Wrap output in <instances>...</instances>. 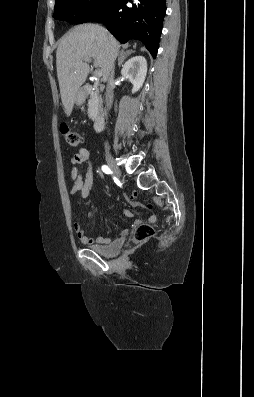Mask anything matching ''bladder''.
Returning a JSON list of instances; mask_svg holds the SVG:
<instances>
[{
	"instance_id": "1",
	"label": "bladder",
	"mask_w": 254,
	"mask_h": 397,
	"mask_svg": "<svg viewBox=\"0 0 254 397\" xmlns=\"http://www.w3.org/2000/svg\"><path fill=\"white\" fill-rule=\"evenodd\" d=\"M123 247L121 240L114 241L108 245L93 246L91 249L99 255L112 257L117 255Z\"/></svg>"
}]
</instances>
